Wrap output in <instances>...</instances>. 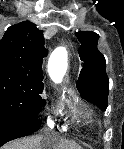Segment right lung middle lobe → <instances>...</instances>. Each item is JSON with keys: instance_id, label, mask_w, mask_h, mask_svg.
<instances>
[{"instance_id": "obj_1", "label": "right lung middle lobe", "mask_w": 124, "mask_h": 149, "mask_svg": "<svg viewBox=\"0 0 124 149\" xmlns=\"http://www.w3.org/2000/svg\"><path fill=\"white\" fill-rule=\"evenodd\" d=\"M43 86L33 87L17 77L0 72V125H17L38 120L46 101Z\"/></svg>"}]
</instances>
